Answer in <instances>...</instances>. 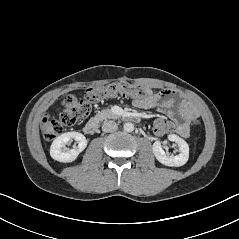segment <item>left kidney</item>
I'll use <instances>...</instances> for the list:
<instances>
[{"mask_svg": "<svg viewBox=\"0 0 239 239\" xmlns=\"http://www.w3.org/2000/svg\"><path fill=\"white\" fill-rule=\"evenodd\" d=\"M168 139L178 145L180 153L175 156L168 155L163 150L161 143L156 141L152 146L153 154L156 159L163 165L170 167H179L186 164L189 158V146L186 141L175 134L168 135Z\"/></svg>", "mask_w": 239, "mask_h": 239, "instance_id": "5707ae66", "label": "left kidney"}]
</instances>
